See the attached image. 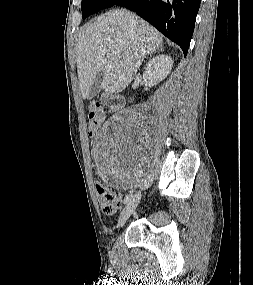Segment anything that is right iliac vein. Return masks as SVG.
Here are the masks:
<instances>
[{
	"label": "right iliac vein",
	"mask_w": 253,
	"mask_h": 285,
	"mask_svg": "<svg viewBox=\"0 0 253 285\" xmlns=\"http://www.w3.org/2000/svg\"><path fill=\"white\" fill-rule=\"evenodd\" d=\"M140 199H141L140 192H136L132 196V198L130 199L126 207L123 209L119 217L118 224H117L118 228L122 227L125 224V222L128 220V218L130 217V215L135 211Z\"/></svg>",
	"instance_id": "obj_1"
}]
</instances>
